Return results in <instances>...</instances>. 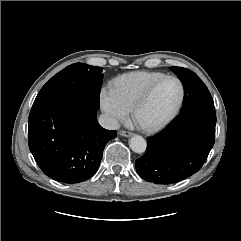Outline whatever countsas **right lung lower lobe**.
Instances as JSON below:
<instances>
[{
    "instance_id": "98d812e1",
    "label": "right lung lower lobe",
    "mask_w": 241,
    "mask_h": 241,
    "mask_svg": "<svg viewBox=\"0 0 241 241\" xmlns=\"http://www.w3.org/2000/svg\"><path fill=\"white\" fill-rule=\"evenodd\" d=\"M97 122V110L83 102L31 109L29 148L43 173L63 183H79L98 170L106 143L116 137Z\"/></svg>"
}]
</instances>
